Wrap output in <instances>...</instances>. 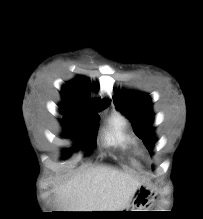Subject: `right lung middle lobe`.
<instances>
[{
  "label": "right lung middle lobe",
  "instance_id": "dd1d6c3e",
  "mask_svg": "<svg viewBox=\"0 0 203 219\" xmlns=\"http://www.w3.org/2000/svg\"><path fill=\"white\" fill-rule=\"evenodd\" d=\"M65 118L61 120L67 136L76 139V148H86L87 154L91 152L94 141L96 124L99 116L83 105L64 102L60 106Z\"/></svg>",
  "mask_w": 203,
  "mask_h": 219
}]
</instances>
